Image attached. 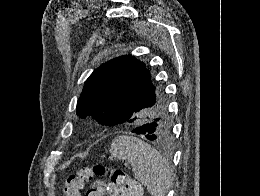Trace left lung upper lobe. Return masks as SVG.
I'll use <instances>...</instances> for the list:
<instances>
[{
    "label": "left lung upper lobe",
    "instance_id": "obj_1",
    "mask_svg": "<svg viewBox=\"0 0 260 196\" xmlns=\"http://www.w3.org/2000/svg\"><path fill=\"white\" fill-rule=\"evenodd\" d=\"M134 108L133 116L125 122L131 129L151 122L152 140L172 141V120L163 90L151 78L145 64L133 56L112 59L98 67L86 80L77 102L80 117L95 119L110 107Z\"/></svg>",
    "mask_w": 260,
    "mask_h": 196
}]
</instances>
